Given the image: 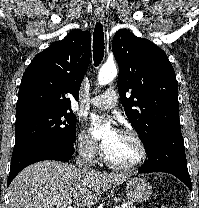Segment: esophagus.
I'll return each mask as SVG.
<instances>
[{
	"instance_id": "esophagus-1",
	"label": "esophagus",
	"mask_w": 199,
	"mask_h": 208,
	"mask_svg": "<svg viewBox=\"0 0 199 208\" xmlns=\"http://www.w3.org/2000/svg\"><path fill=\"white\" fill-rule=\"evenodd\" d=\"M94 13H95V15H96V17H97L98 19H100V20L103 19V17H104V11H103L102 8L97 7V8L94 10Z\"/></svg>"
}]
</instances>
